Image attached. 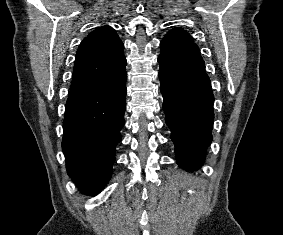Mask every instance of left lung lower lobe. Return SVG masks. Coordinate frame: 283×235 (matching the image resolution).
<instances>
[{
  "instance_id": "1",
  "label": "left lung lower lobe",
  "mask_w": 283,
  "mask_h": 235,
  "mask_svg": "<svg viewBox=\"0 0 283 235\" xmlns=\"http://www.w3.org/2000/svg\"><path fill=\"white\" fill-rule=\"evenodd\" d=\"M159 79L166 124L178 164L197 169L212 140L214 97L205 72L160 63Z\"/></svg>"
}]
</instances>
